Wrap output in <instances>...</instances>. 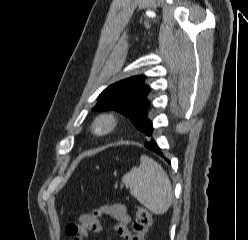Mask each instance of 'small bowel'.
I'll use <instances>...</instances> for the list:
<instances>
[{"label": "small bowel", "instance_id": "small-bowel-1", "mask_svg": "<svg viewBox=\"0 0 248 240\" xmlns=\"http://www.w3.org/2000/svg\"><path fill=\"white\" fill-rule=\"evenodd\" d=\"M113 218L116 221L115 232L125 240H132L129 230L130 216L123 204H105L92 211L81 214L77 221L70 223L65 228V234L73 240H84L91 233H100L103 230L102 219Z\"/></svg>", "mask_w": 248, "mask_h": 240}]
</instances>
